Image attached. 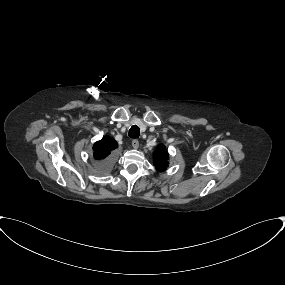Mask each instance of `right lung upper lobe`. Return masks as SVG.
<instances>
[{"mask_svg": "<svg viewBox=\"0 0 285 285\" xmlns=\"http://www.w3.org/2000/svg\"><path fill=\"white\" fill-rule=\"evenodd\" d=\"M118 147L117 142L113 139L110 138L109 136L103 137L102 140L97 141L94 146V158L97 160H103L105 159L112 150Z\"/></svg>", "mask_w": 285, "mask_h": 285, "instance_id": "right-lung-upper-lobe-1", "label": "right lung upper lobe"}]
</instances>
